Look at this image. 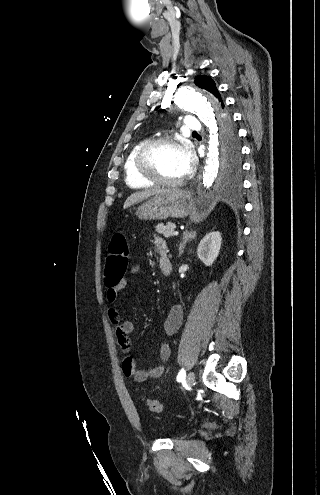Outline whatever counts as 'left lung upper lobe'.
I'll return each mask as SVG.
<instances>
[{
	"label": "left lung upper lobe",
	"instance_id": "obj_1",
	"mask_svg": "<svg viewBox=\"0 0 320 495\" xmlns=\"http://www.w3.org/2000/svg\"><path fill=\"white\" fill-rule=\"evenodd\" d=\"M194 84L213 94L221 102L222 108H224V103L214 80L209 76L199 75L195 78ZM221 124L219 154L222 169L227 176H235L241 168L240 146L237 132L233 125L229 123L226 111L222 112Z\"/></svg>",
	"mask_w": 320,
	"mask_h": 495
}]
</instances>
